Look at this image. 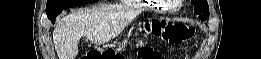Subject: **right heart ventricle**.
I'll list each match as a JSON object with an SVG mask.
<instances>
[{
    "mask_svg": "<svg viewBox=\"0 0 261 59\" xmlns=\"http://www.w3.org/2000/svg\"><path fill=\"white\" fill-rule=\"evenodd\" d=\"M138 1H141V0H138ZM149 8H151V9H155V7H153V6H149Z\"/></svg>",
    "mask_w": 261,
    "mask_h": 59,
    "instance_id": "obj_1",
    "label": "right heart ventricle"
}]
</instances>
